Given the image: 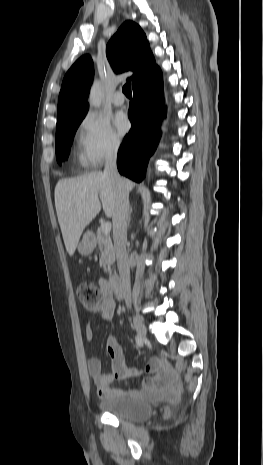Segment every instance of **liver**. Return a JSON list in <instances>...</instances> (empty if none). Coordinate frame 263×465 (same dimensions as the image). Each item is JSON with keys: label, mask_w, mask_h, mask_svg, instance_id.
Returning <instances> with one entry per match:
<instances>
[{"label": "liver", "mask_w": 263, "mask_h": 465, "mask_svg": "<svg viewBox=\"0 0 263 465\" xmlns=\"http://www.w3.org/2000/svg\"><path fill=\"white\" fill-rule=\"evenodd\" d=\"M122 181L127 192H130L134 182L127 178H122ZM115 205L116 188L100 171L58 181L55 187V207L70 256L74 254L83 230L101 208L107 217H111Z\"/></svg>", "instance_id": "1"}]
</instances>
